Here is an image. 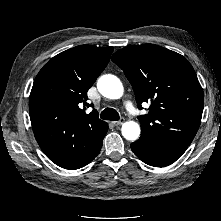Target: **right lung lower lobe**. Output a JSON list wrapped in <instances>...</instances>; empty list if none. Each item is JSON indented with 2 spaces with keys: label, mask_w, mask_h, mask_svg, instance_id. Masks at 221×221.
I'll return each mask as SVG.
<instances>
[{
  "label": "right lung lower lobe",
  "mask_w": 221,
  "mask_h": 221,
  "mask_svg": "<svg viewBox=\"0 0 221 221\" xmlns=\"http://www.w3.org/2000/svg\"><path fill=\"white\" fill-rule=\"evenodd\" d=\"M107 131H108V125H106V127L102 130V133H101V135L98 137V140H97L95 152H94V154L91 156V158L85 163V165H87L91 160H93V159L98 155V153L100 152L101 147H102V143H103V138H104L105 134L107 133ZM85 165H84V166H85Z\"/></svg>",
  "instance_id": "1"
}]
</instances>
